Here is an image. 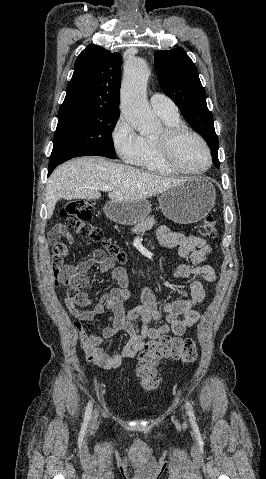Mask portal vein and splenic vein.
<instances>
[{
  "label": "portal vein and splenic vein",
  "instance_id": "obj_1",
  "mask_svg": "<svg viewBox=\"0 0 266 479\" xmlns=\"http://www.w3.org/2000/svg\"><path fill=\"white\" fill-rule=\"evenodd\" d=\"M113 189L112 186L110 185H106V186H103L102 188H100V190L102 191H111Z\"/></svg>",
  "mask_w": 266,
  "mask_h": 479
}]
</instances>
